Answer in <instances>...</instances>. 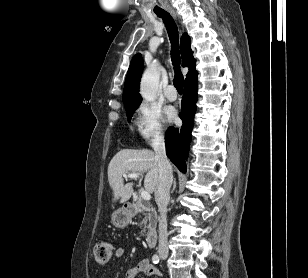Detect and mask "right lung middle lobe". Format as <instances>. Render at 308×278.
I'll return each instance as SVG.
<instances>
[{"instance_id": "right-lung-middle-lobe-1", "label": "right lung middle lobe", "mask_w": 308, "mask_h": 278, "mask_svg": "<svg viewBox=\"0 0 308 278\" xmlns=\"http://www.w3.org/2000/svg\"><path fill=\"white\" fill-rule=\"evenodd\" d=\"M138 106H130L128 108H125L126 109V114H127V120L128 122L131 121V118H132V115L135 111V109L137 108Z\"/></svg>"}]
</instances>
